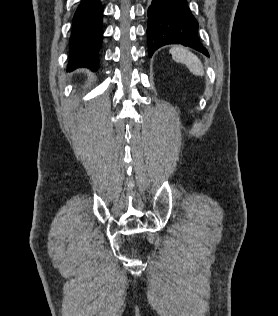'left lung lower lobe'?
Instances as JSON below:
<instances>
[{
	"label": "left lung lower lobe",
	"mask_w": 278,
	"mask_h": 316,
	"mask_svg": "<svg viewBox=\"0 0 278 316\" xmlns=\"http://www.w3.org/2000/svg\"><path fill=\"white\" fill-rule=\"evenodd\" d=\"M197 31L198 22L190 12L187 0H152L148 8L149 54L167 44H182L208 56Z\"/></svg>",
	"instance_id": "obj_1"
}]
</instances>
